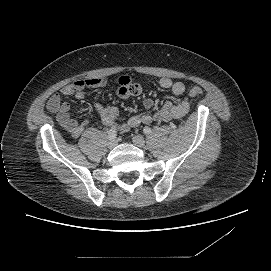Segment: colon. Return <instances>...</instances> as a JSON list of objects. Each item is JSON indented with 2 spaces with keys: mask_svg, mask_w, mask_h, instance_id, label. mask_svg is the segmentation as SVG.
<instances>
[{
  "mask_svg": "<svg viewBox=\"0 0 271 271\" xmlns=\"http://www.w3.org/2000/svg\"><path fill=\"white\" fill-rule=\"evenodd\" d=\"M128 91L131 95H137L140 93V88L137 84H131ZM187 95L190 97H200L203 95V90L200 87H191L187 90Z\"/></svg>",
  "mask_w": 271,
  "mask_h": 271,
  "instance_id": "1",
  "label": "colon"
}]
</instances>
